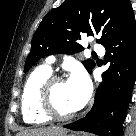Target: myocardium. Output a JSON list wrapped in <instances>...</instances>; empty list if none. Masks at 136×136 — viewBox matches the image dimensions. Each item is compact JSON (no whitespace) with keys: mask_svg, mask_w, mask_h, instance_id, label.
<instances>
[{"mask_svg":"<svg viewBox=\"0 0 136 136\" xmlns=\"http://www.w3.org/2000/svg\"><path fill=\"white\" fill-rule=\"evenodd\" d=\"M65 82V79L58 75H51L43 84L40 90L39 105L43 114L51 120L67 121L77 115V111L61 114L53 104V89L56 84Z\"/></svg>","mask_w":136,"mask_h":136,"instance_id":"f54148a6","label":"myocardium"}]
</instances>
